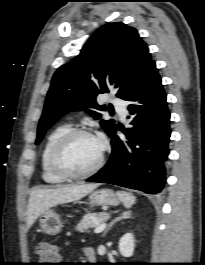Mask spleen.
I'll list each match as a JSON object with an SVG mask.
<instances>
[{
  "instance_id": "obj_1",
  "label": "spleen",
  "mask_w": 205,
  "mask_h": 265,
  "mask_svg": "<svg viewBox=\"0 0 205 265\" xmlns=\"http://www.w3.org/2000/svg\"><path fill=\"white\" fill-rule=\"evenodd\" d=\"M117 196L126 208H131L132 205L136 202V197L129 192L118 191Z\"/></svg>"
}]
</instances>
